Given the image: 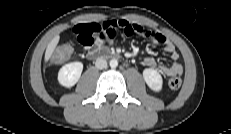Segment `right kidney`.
Wrapping results in <instances>:
<instances>
[{
	"label": "right kidney",
	"mask_w": 231,
	"mask_h": 134,
	"mask_svg": "<svg viewBox=\"0 0 231 134\" xmlns=\"http://www.w3.org/2000/svg\"><path fill=\"white\" fill-rule=\"evenodd\" d=\"M83 70L81 62H71L64 65L58 73V82L67 88L74 86L80 79Z\"/></svg>",
	"instance_id": "obj_1"
}]
</instances>
